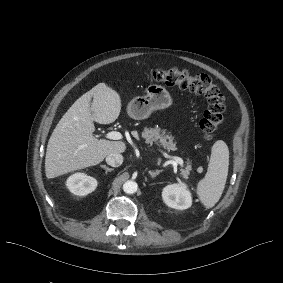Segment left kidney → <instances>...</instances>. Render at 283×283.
<instances>
[{
	"instance_id": "left-kidney-1",
	"label": "left kidney",
	"mask_w": 283,
	"mask_h": 283,
	"mask_svg": "<svg viewBox=\"0 0 283 283\" xmlns=\"http://www.w3.org/2000/svg\"><path fill=\"white\" fill-rule=\"evenodd\" d=\"M162 198L165 204L177 210H185L191 207L192 197L185 183L170 184L164 187Z\"/></svg>"
}]
</instances>
